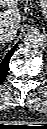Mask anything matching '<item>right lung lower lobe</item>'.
<instances>
[{
  "label": "right lung lower lobe",
  "mask_w": 47,
  "mask_h": 129,
  "mask_svg": "<svg viewBox=\"0 0 47 129\" xmlns=\"http://www.w3.org/2000/svg\"><path fill=\"white\" fill-rule=\"evenodd\" d=\"M17 48V44L7 53L3 61L0 63V84L3 82L9 70V60L14 51Z\"/></svg>",
  "instance_id": "right-lung-lower-lobe-1"
}]
</instances>
